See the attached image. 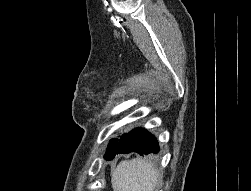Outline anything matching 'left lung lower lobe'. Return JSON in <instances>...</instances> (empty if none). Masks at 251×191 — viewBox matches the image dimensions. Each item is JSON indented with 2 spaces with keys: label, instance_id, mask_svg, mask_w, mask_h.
I'll use <instances>...</instances> for the list:
<instances>
[{
  "label": "left lung lower lobe",
  "instance_id": "left-lung-lower-lobe-1",
  "mask_svg": "<svg viewBox=\"0 0 251 191\" xmlns=\"http://www.w3.org/2000/svg\"><path fill=\"white\" fill-rule=\"evenodd\" d=\"M136 152L140 155H148L159 152L156 138L143 128H137L127 134H123L117 140L113 152L106 160L115 158L117 154Z\"/></svg>",
  "mask_w": 251,
  "mask_h": 191
}]
</instances>
